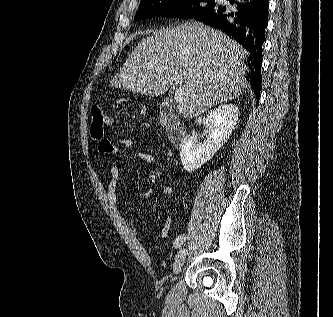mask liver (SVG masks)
<instances>
[{"label":"liver","mask_w":333,"mask_h":317,"mask_svg":"<svg viewBox=\"0 0 333 317\" xmlns=\"http://www.w3.org/2000/svg\"><path fill=\"white\" fill-rule=\"evenodd\" d=\"M246 54L224 33L186 22L142 39L111 85L149 96L162 95L173 85L184 93L177 110L192 118L242 95Z\"/></svg>","instance_id":"obj_1"}]
</instances>
